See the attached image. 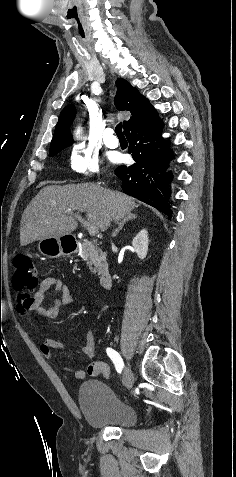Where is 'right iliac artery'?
Here are the masks:
<instances>
[{
  "mask_svg": "<svg viewBox=\"0 0 236 477\" xmlns=\"http://www.w3.org/2000/svg\"><path fill=\"white\" fill-rule=\"evenodd\" d=\"M106 352H107V355L112 360V362L114 363V366H115L117 372L121 373L122 369L124 367V363H123V360H122L121 356L119 355V353L112 348H107Z\"/></svg>",
  "mask_w": 236,
  "mask_h": 477,
  "instance_id": "1",
  "label": "right iliac artery"
}]
</instances>
